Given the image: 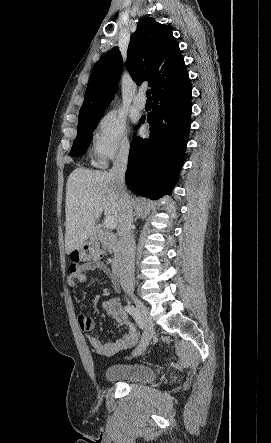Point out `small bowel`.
<instances>
[{"instance_id": "1", "label": "small bowel", "mask_w": 271, "mask_h": 443, "mask_svg": "<svg viewBox=\"0 0 271 443\" xmlns=\"http://www.w3.org/2000/svg\"><path fill=\"white\" fill-rule=\"evenodd\" d=\"M91 271L96 272L98 275H109L115 291H119L118 280L115 277L111 276L108 267L100 260H94L88 263L73 265L71 268V274L67 279L68 285L70 287H75L76 282H86V274ZM102 307L109 317L114 319L120 326L126 327L127 332L114 342H101L92 333V329L94 327L93 320L90 317L79 315L78 322L80 328L84 332L86 340L92 347V349L101 356L109 357L122 350L134 347L138 341V331L129 316L123 310L118 300L116 298L105 300L102 303Z\"/></svg>"}]
</instances>
